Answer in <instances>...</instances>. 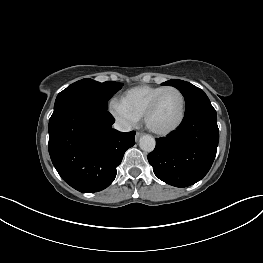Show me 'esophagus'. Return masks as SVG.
I'll list each match as a JSON object with an SVG mask.
<instances>
[{
	"label": "esophagus",
	"mask_w": 263,
	"mask_h": 263,
	"mask_svg": "<svg viewBox=\"0 0 263 263\" xmlns=\"http://www.w3.org/2000/svg\"><path fill=\"white\" fill-rule=\"evenodd\" d=\"M142 136L141 132H137L135 135V140L138 141V139Z\"/></svg>",
	"instance_id": "obj_1"
}]
</instances>
